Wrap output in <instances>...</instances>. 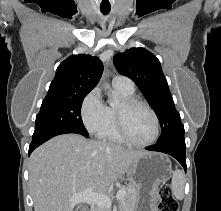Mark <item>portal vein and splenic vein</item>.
Segmentation results:
<instances>
[{
  "mask_svg": "<svg viewBox=\"0 0 221 211\" xmlns=\"http://www.w3.org/2000/svg\"><path fill=\"white\" fill-rule=\"evenodd\" d=\"M124 195H125V190L124 188H121L120 190H118L116 194V199L118 201H121ZM68 202L71 206H74L79 203H87V204H96L98 207L105 209L110 208L112 205L110 197H108L105 194L95 193L92 191V189H87L80 194L72 196L68 200Z\"/></svg>",
  "mask_w": 221,
  "mask_h": 211,
  "instance_id": "18ae733b",
  "label": "portal vein and splenic vein"
}]
</instances>
